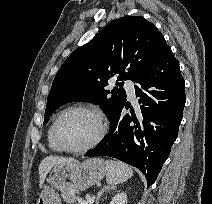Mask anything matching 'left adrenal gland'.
Returning <instances> with one entry per match:
<instances>
[{"instance_id": "1", "label": "left adrenal gland", "mask_w": 212, "mask_h": 204, "mask_svg": "<svg viewBox=\"0 0 212 204\" xmlns=\"http://www.w3.org/2000/svg\"><path fill=\"white\" fill-rule=\"evenodd\" d=\"M114 189H115V186H110V185L102 187L101 190L97 193L95 204H99V200H100L102 193H104L107 190H114Z\"/></svg>"}]
</instances>
